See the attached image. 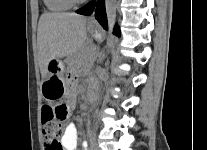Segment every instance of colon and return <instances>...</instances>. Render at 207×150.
Masks as SVG:
<instances>
[{
  "mask_svg": "<svg viewBox=\"0 0 207 150\" xmlns=\"http://www.w3.org/2000/svg\"><path fill=\"white\" fill-rule=\"evenodd\" d=\"M68 116V104H47L43 107L42 126L45 150H63L59 136L62 133V124Z\"/></svg>",
  "mask_w": 207,
  "mask_h": 150,
  "instance_id": "obj_1",
  "label": "colon"
}]
</instances>
